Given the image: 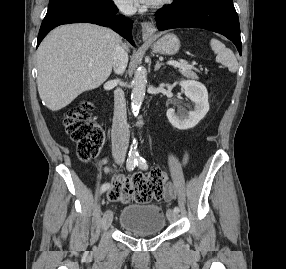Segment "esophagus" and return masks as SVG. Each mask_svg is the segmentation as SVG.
<instances>
[{"instance_id": "1", "label": "esophagus", "mask_w": 286, "mask_h": 269, "mask_svg": "<svg viewBox=\"0 0 286 269\" xmlns=\"http://www.w3.org/2000/svg\"><path fill=\"white\" fill-rule=\"evenodd\" d=\"M142 27V37L143 39H149L151 38L154 33L156 32L155 25L150 21H144L141 23Z\"/></svg>"}]
</instances>
